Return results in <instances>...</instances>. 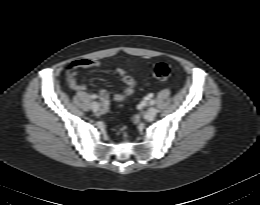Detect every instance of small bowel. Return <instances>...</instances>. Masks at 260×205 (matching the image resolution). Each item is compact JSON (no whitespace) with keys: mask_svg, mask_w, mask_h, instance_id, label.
<instances>
[{"mask_svg":"<svg viewBox=\"0 0 260 205\" xmlns=\"http://www.w3.org/2000/svg\"><path fill=\"white\" fill-rule=\"evenodd\" d=\"M99 66V62L93 59H78L68 64L66 70V80L69 88L73 91L83 92L86 90L85 84L77 79V71L79 69H93ZM117 73L124 85L122 91H117L113 95V101L122 102L132 95L135 87L134 78L123 69H117ZM104 107L110 103V94L107 90L102 89L97 95Z\"/></svg>","mask_w":260,"mask_h":205,"instance_id":"c3829d8e","label":"small bowel"}]
</instances>
